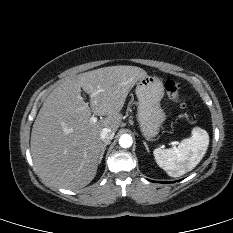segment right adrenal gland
I'll list each match as a JSON object with an SVG mask.
<instances>
[{"instance_id": "right-adrenal-gland-1", "label": "right adrenal gland", "mask_w": 233, "mask_h": 233, "mask_svg": "<svg viewBox=\"0 0 233 233\" xmlns=\"http://www.w3.org/2000/svg\"><path fill=\"white\" fill-rule=\"evenodd\" d=\"M109 144H110V142L104 143V146H103V149H102V152H101V155H100L99 163H101L102 158H103V155H104V152H105V150H106V147H107V145H109Z\"/></svg>"}]
</instances>
